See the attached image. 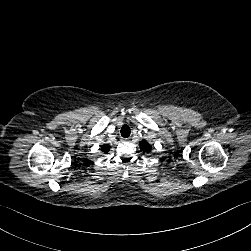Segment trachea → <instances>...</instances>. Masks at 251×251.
I'll list each match as a JSON object with an SVG mask.
<instances>
[{
  "label": "trachea",
  "instance_id": "trachea-1",
  "mask_svg": "<svg viewBox=\"0 0 251 251\" xmlns=\"http://www.w3.org/2000/svg\"><path fill=\"white\" fill-rule=\"evenodd\" d=\"M131 134L130 127L128 125H123L121 128V135L124 138H128Z\"/></svg>",
  "mask_w": 251,
  "mask_h": 251
}]
</instances>
